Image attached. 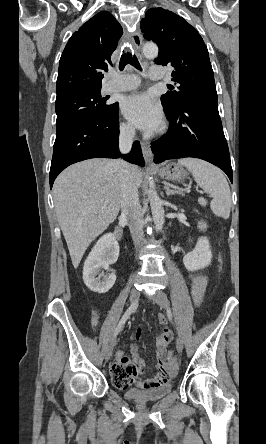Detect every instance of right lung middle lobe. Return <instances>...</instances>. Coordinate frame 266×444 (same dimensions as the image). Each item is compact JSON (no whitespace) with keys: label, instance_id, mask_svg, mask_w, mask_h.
I'll list each match as a JSON object with an SVG mask.
<instances>
[{"label":"right lung middle lobe","instance_id":"right-lung-middle-lobe-1","mask_svg":"<svg viewBox=\"0 0 266 444\" xmlns=\"http://www.w3.org/2000/svg\"><path fill=\"white\" fill-rule=\"evenodd\" d=\"M105 101L106 99L101 97L100 89L69 92L56 98V136L72 127L110 116L117 103L106 104Z\"/></svg>","mask_w":266,"mask_h":444}]
</instances>
